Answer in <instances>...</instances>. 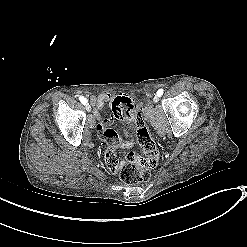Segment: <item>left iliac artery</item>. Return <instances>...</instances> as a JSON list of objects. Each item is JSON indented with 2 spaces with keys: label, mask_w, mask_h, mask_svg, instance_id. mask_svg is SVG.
I'll return each mask as SVG.
<instances>
[{
  "label": "left iliac artery",
  "mask_w": 247,
  "mask_h": 247,
  "mask_svg": "<svg viewBox=\"0 0 247 247\" xmlns=\"http://www.w3.org/2000/svg\"><path fill=\"white\" fill-rule=\"evenodd\" d=\"M163 93H164V90H163V89H159V90L157 91V95H158L159 97H161V96L163 95Z\"/></svg>",
  "instance_id": "1"
}]
</instances>
